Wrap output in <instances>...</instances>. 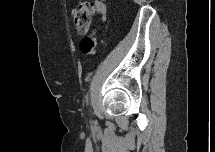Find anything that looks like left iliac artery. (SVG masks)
<instances>
[{
	"mask_svg": "<svg viewBox=\"0 0 215 152\" xmlns=\"http://www.w3.org/2000/svg\"><path fill=\"white\" fill-rule=\"evenodd\" d=\"M86 98V103L88 104V94L85 96Z\"/></svg>",
	"mask_w": 215,
	"mask_h": 152,
	"instance_id": "44dca946",
	"label": "left iliac artery"
}]
</instances>
